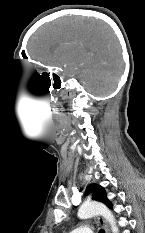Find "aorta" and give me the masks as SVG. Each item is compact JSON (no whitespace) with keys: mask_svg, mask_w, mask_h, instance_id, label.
<instances>
[{"mask_svg":"<svg viewBox=\"0 0 145 233\" xmlns=\"http://www.w3.org/2000/svg\"><path fill=\"white\" fill-rule=\"evenodd\" d=\"M80 219H88L97 215H101L109 223L112 233H119L116 220L112 212L102 203L90 202L84 203L77 213Z\"/></svg>","mask_w":145,"mask_h":233,"instance_id":"obj_1","label":"aorta"}]
</instances>
